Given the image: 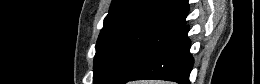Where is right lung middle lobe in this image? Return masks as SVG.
<instances>
[{
  "label": "right lung middle lobe",
  "mask_w": 260,
  "mask_h": 84,
  "mask_svg": "<svg viewBox=\"0 0 260 84\" xmlns=\"http://www.w3.org/2000/svg\"><path fill=\"white\" fill-rule=\"evenodd\" d=\"M177 30L168 26L133 25L98 39L94 83H126Z\"/></svg>",
  "instance_id": "right-lung-middle-lobe-1"
}]
</instances>
